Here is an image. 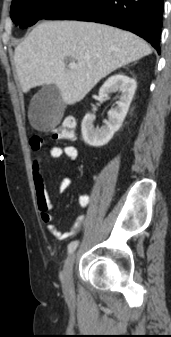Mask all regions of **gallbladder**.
Wrapping results in <instances>:
<instances>
[{
	"label": "gallbladder",
	"mask_w": 171,
	"mask_h": 337,
	"mask_svg": "<svg viewBox=\"0 0 171 337\" xmlns=\"http://www.w3.org/2000/svg\"><path fill=\"white\" fill-rule=\"evenodd\" d=\"M64 102L55 85H47L33 97L29 107L31 125L39 130L54 128L64 113Z\"/></svg>",
	"instance_id": "gallbladder-1"
}]
</instances>
